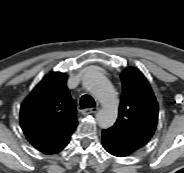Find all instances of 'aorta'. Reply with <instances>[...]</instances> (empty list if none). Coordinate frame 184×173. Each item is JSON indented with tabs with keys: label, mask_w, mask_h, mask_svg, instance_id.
<instances>
[{
	"label": "aorta",
	"mask_w": 184,
	"mask_h": 173,
	"mask_svg": "<svg viewBox=\"0 0 184 173\" xmlns=\"http://www.w3.org/2000/svg\"><path fill=\"white\" fill-rule=\"evenodd\" d=\"M82 82L85 88L102 104V109L96 114L98 125L103 129L113 126L118 116V99L112 85L95 68H88L85 71Z\"/></svg>",
	"instance_id": "obj_1"
}]
</instances>
